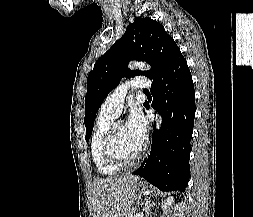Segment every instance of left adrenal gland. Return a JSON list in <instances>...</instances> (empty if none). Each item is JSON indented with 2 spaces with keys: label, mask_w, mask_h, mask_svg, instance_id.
Listing matches in <instances>:
<instances>
[{
  "label": "left adrenal gland",
  "mask_w": 253,
  "mask_h": 217,
  "mask_svg": "<svg viewBox=\"0 0 253 217\" xmlns=\"http://www.w3.org/2000/svg\"><path fill=\"white\" fill-rule=\"evenodd\" d=\"M153 206V204H150L149 201L146 202L145 206H144V210L146 212V217H148L149 214H151V207ZM151 217V216H150Z\"/></svg>",
  "instance_id": "left-adrenal-gland-1"
}]
</instances>
